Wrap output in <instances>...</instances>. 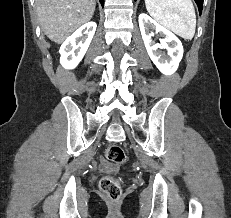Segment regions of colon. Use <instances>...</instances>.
Returning a JSON list of instances; mask_svg holds the SVG:
<instances>
[{
    "label": "colon",
    "mask_w": 231,
    "mask_h": 218,
    "mask_svg": "<svg viewBox=\"0 0 231 218\" xmlns=\"http://www.w3.org/2000/svg\"><path fill=\"white\" fill-rule=\"evenodd\" d=\"M107 159L115 165L125 162L126 156L123 149L118 145H110L105 151ZM100 189L104 195L112 201H117L122 196L120 181L112 176H104L100 181Z\"/></svg>",
    "instance_id": "1"
}]
</instances>
